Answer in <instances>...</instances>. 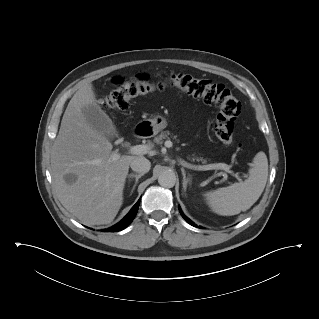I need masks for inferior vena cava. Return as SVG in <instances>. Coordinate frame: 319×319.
<instances>
[{
    "label": "inferior vena cava",
    "instance_id": "obj_1",
    "mask_svg": "<svg viewBox=\"0 0 319 319\" xmlns=\"http://www.w3.org/2000/svg\"><path fill=\"white\" fill-rule=\"evenodd\" d=\"M130 167L135 172L145 174L150 170L151 163L145 157H136L131 161Z\"/></svg>",
    "mask_w": 319,
    "mask_h": 319
}]
</instances>
